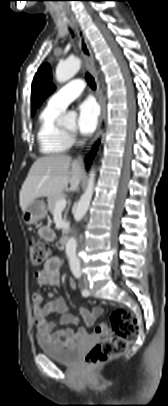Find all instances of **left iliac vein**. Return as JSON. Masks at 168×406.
<instances>
[{"label": "left iliac vein", "instance_id": "left-iliac-vein-1", "mask_svg": "<svg viewBox=\"0 0 168 406\" xmlns=\"http://www.w3.org/2000/svg\"><path fill=\"white\" fill-rule=\"evenodd\" d=\"M85 285H86V287L88 288V284H87V282L85 283Z\"/></svg>", "mask_w": 168, "mask_h": 406}]
</instances>
